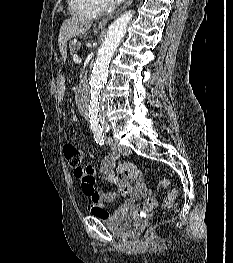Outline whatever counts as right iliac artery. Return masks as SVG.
<instances>
[{
    "instance_id": "1",
    "label": "right iliac artery",
    "mask_w": 233,
    "mask_h": 263,
    "mask_svg": "<svg viewBox=\"0 0 233 263\" xmlns=\"http://www.w3.org/2000/svg\"><path fill=\"white\" fill-rule=\"evenodd\" d=\"M94 138L96 143H98L99 145H104L105 141H104V133L103 132H96L94 134Z\"/></svg>"
}]
</instances>
